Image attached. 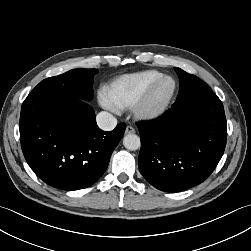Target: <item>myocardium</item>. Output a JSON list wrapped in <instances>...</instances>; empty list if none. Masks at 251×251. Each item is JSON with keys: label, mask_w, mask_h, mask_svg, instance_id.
<instances>
[{"label": "myocardium", "mask_w": 251, "mask_h": 251, "mask_svg": "<svg viewBox=\"0 0 251 251\" xmlns=\"http://www.w3.org/2000/svg\"><path fill=\"white\" fill-rule=\"evenodd\" d=\"M165 80H171L172 89L168 96L160 103H154L152 101L153 95L160 84ZM177 92L176 80L169 75H163L153 83H151L148 88L144 91L141 97L133 105V112L136 118L144 121H151L161 117L171 105L175 94Z\"/></svg>", "instance_id": "myocardium-1"}]
</instances>
